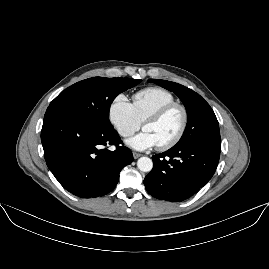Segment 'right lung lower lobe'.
<instances>
[{
	"label": "right lung lower lobe",
	"mask_w": 269,
	"mask_h": 269,
	"mask_svg": "<svg viewBox=\"0 0 269 269\" xmlns=\"http://www.w3.org/2000/svg\"><path fill=\"white\" fill-rule=\"evenodd\" d=\"M41 141L48 168L69 192L81 198L111 192L120 171L133 161L129 148L121 146L117 131L80 116L48 108ZM115 145L114 151L102 146Z\"/></svg>",
	"instance_id": "1"
}]
</instances>
